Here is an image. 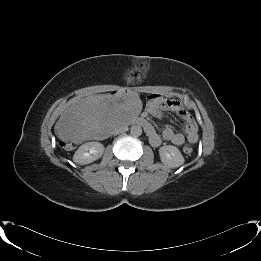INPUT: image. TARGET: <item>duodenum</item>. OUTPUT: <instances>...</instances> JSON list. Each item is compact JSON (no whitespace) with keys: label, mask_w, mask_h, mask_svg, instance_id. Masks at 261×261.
<instances>
[{"label":"duodenum","mask_w":261,"mask_h":261,"mask_svg":"<svg viewBox=\"0 0 261 261\" xmlns=\"http://www.w3.org/2000/svg\"><path fill=\"white\" fill-rule=\"evenodd\" d=\"M135 123L136 124H138V125H140V126H142L144 129H145V131H146V133L147 134H150V132L152 131V125L145 119V118H142V117H140V118H137L136 120H135Z\"/></svg>","instance_id":"1"}]
</instances>
